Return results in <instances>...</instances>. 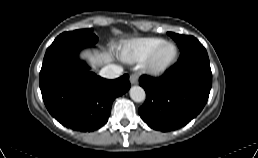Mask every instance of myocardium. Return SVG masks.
I'll return each instance as SVG.
<instances>
[{
    "mask_svg": "<svg viewBox=\"0 0 258 158\" xmlns=\"http://www.w3.org/2000/svg\"><path fill=\"white\" fill-rule=\"evenodd\" d=\"M165 45H172L174 47V49H175L174 56L172 57V59H170L166 63H164L160 66H155L154 59H155L156 55L158 54L159 50ZM178 57H179V50H178L177 45L171 41H163L145 59L144 70L150 75L160 76V75L164 74L165 72H167L176 63V61L178 60Z\"/></svg>",
    "mask_w": 258,
    "mask_h": 158,
    "instance_id": "f54148a6",
    "label": "myocardium"
}]
</instances>
